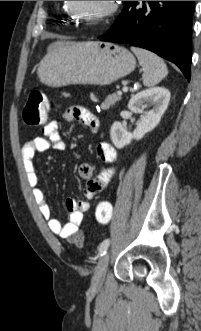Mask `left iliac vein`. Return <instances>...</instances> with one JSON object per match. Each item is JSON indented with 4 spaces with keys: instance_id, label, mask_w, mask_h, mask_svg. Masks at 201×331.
I'll list each match as a JSON object with an SVG mask.
<instances>
[{
    "instance_id": "1",
    "label": "left iliac vein",
    "mask_w": 201,
    "mask_h": 331,
    "mask_svg": "<svg viewBox=\"0 0 201 331\" xmlns=\"http://www.w3.org/2000/svg\"><path fill=\"white\" fill-rule=\"evenodd\" d=\"M109 257V252H106L100 257L98 266L92 278L91 285L93 289H98L102 286L108 269Z\"/></svg>"
}]
</instances>
